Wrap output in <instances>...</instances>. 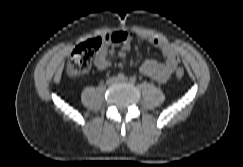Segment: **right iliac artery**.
Segmentation results:
<instances>
[{"label": "right iliac artery", "mask_w": 243, "mask_h": 167, "mask_svg": "<svg viewBox=\"0 0 243 167\" xmlns=\"http://www.w3.org/2000/svg\"><path fill=\"white\" fill-rule=\"evenodd\" d=\"M117 77H118V79H120V80H122V79L125 78V76H124L123 73H119V74L117 75Z\"/></svg>", "instance_id": "82829eb1"}]
</instances>
